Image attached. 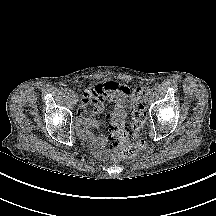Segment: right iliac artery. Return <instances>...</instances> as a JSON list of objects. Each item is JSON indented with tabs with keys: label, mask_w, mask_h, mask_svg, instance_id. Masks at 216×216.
I'll return each instance as SVG.
<instances>
[{
	"label": "right iliac artery",
	"mask_w": 216,
	"mask_h": 216,
	"mask_svg": "<svg viewBox=\"0 0 216 216\" xmlns=\"http://www.w3.org/2000/svg\"><path fill=\"white\" fill-rule=\"evenodd\" d=\"M68 95H69L70 97H73V96L75 95V92L72 91V90H70V91L68 92Z\"/></svg>",
	"instance_id": "right-iliac-artery-1"
}]
</instances>
